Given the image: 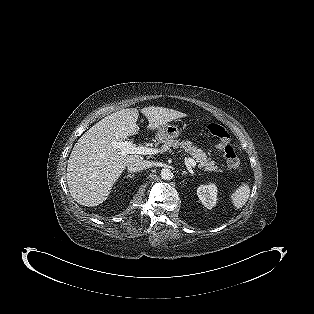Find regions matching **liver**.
I'll use <instances>...</instances> for the list:
<instances>
[{
	"mask_svg": "<svg viewBox=\"0 0 314 314\" xmlns=\"http://www.w3.org/2000/svg\"><path fill=\"white\" fill-rule=\"evenodd\" d=\"M150 130L187 115L168 108L150 106L141 109ZM139 111L122 109L93 125L74 145L67 166V183L71 196L81 205L97 206L111 192L123 170L130 163L143 160L141 155H121L113 147L138 133Z\"/></svg>",
	"mask_w": 314,
	"mask_h": 314,
	"instance_id": "obj_1",
	"label": "liver"
}]
</instances>
